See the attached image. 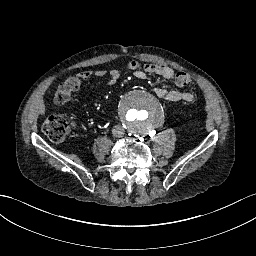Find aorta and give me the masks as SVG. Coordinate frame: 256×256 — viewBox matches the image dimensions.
<instances>
[{
	"label": "aorta",
	"mask_w": 256,
	"mask_h": 256,
	"mask_svg": "<svg viewBox=\"0 0 256 256\" xmlns=\"http://www.w3.org/2000/svg\"><path fill=\"white\" fill-rule=\"evenodd\" d=\"M119 116L122 124L128 130L144 133L152 130L158 124L161 109L158 101L152 95L136 92L128 95L122 101Z\"/></svg>",
	"instance_id": "obj_1"
}]
</instances>
